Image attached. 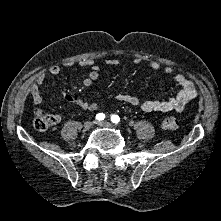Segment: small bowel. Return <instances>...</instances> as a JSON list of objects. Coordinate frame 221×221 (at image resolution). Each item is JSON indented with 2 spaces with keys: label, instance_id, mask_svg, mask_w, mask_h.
Instances as JSON below:
<instances>
[{
  "label": "small bowel",
  "instance_id": "small-bowel-1",
  "mask_svg": "<svg viewBox=\"0 0 221 221\" xmlns=\"http://www.w3.org/2000/svg\"><path fill=\"white\" fill-rule=\"evenodd\" d=\"M135 63H140L139 59H134ZM107 65H117L119 62L116 59L105 60ZM67 65H71L68 63ZM78 65L89 69V73L83 80L84 87L92 86L99 78V66L93 59L84 58L79 60ZM149 68L153 71L162 70L165 75H173L174 82L179 86V92L172 98L168 99H147L142 100L137 96L128 93H119L116 98L119 102L138 107L145 112L158 111L168 112L176 111L180 112L184 109L186 104L195 98L196 90L193 83L181 73H173V69L170 66H162L158 61H150ZM60 67L52 65L49 69L51 75H58L60 73ZM45 83V75L40 74L36 81L29 87L28 91L31 95L32 102L36 106H40L43 103V98L40 92V87ZM60 95L70 103L78 105L84 110L96 111L98 105L96 103L88 102L81 96L73 95L59 86ZM58 121L61 120V115H56Z\"/></svg>",
  "mask_w": 221,
  "mask_h": 221
}]
</instances>
